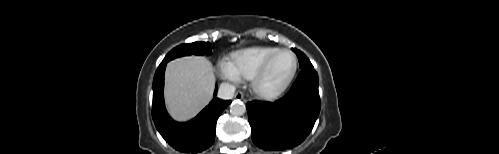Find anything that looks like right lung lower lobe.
<instances>
[{
	"instance_id": "obj_1",
	"label": "right lung lower lobe",
	"mask_w": 499,
	"mask_h": 154,
	"mask_svg": "<svg viewBox=\"0 0 499 154\" xmlns=\"http://www.w3.org/2000/svg\"><path fill=\"white\" fill-rule=\"evenodd\" d=\"M167 62H161L153 80L152 118L162 137L180 152L198 153L214 143L216 122L231 101L214 97L194 119L186 123L174 121L164 105V72ZM217 94V87L214 96Z\"/></svg>"
}]
</instances>
